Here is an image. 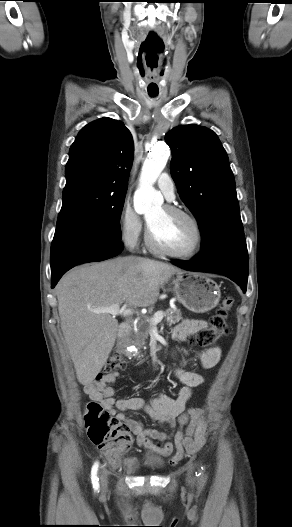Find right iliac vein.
Wrapping results in <instances>:
<instances>
[{
	"label": "right iliac vein",
	"instance_id": "63e3f726",
	"mask_svg": "<svg viewBox=\"0 0 292 527\" xmlns=\"http://www.w3.org/2000/svg\"><path fill=\"white\" fill-rule=\"evenodd\" d=\"M100 482L102 487H106L107 485V474L104 470L100 472Z\"/></svg>",
	"mask_w": 292,
	"mask_h": 527
}]
</instances>
